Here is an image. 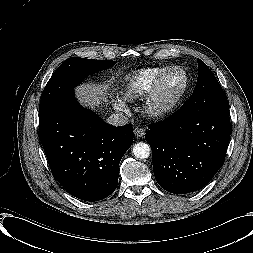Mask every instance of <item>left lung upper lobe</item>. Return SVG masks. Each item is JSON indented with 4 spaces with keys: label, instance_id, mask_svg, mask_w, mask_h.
I'll return each instance as SVG.
<instances>
[{
    "label": "left lung upper lobe",
    "instance_id": "1",
    "mask_svg": "<svg viewBox=\"0 0 253 253\" xmlns=\"http://www.w3.org/2000/svg\"><path fill=\"white\" fill-rule=\"evenodd\" d=\"M198 68L197 84L190 98L198 99L201 103H206L217 94L222 93L223 90L214 74L200 59H198Z\"/></svg>",
    "mask_w": 253,
    "mask_h": 253
}]
</instances>
